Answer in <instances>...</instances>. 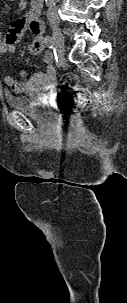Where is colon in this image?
<instances>
[{"instance_id": "colon-1", "label": "colon", "mask_w": 127, "mask_h": 303, "mask_svg": "<svg viewBox=\"0 0 127 303\" xmlns=\"http://www.w3.org/2000/svg\"><path fill=\"white\" fill-rule=\"evenodd\" d=\"M60 84L65 90L61 94V100L62 108L66 115L77 112L89 104V90L79 83V80L74 73H65L61 77Z\"/></svg>"}]
</instances>
